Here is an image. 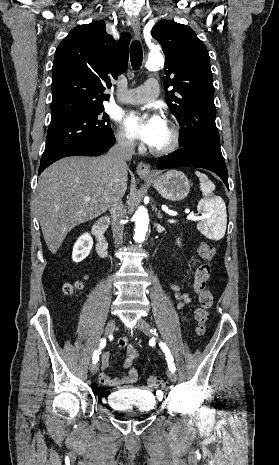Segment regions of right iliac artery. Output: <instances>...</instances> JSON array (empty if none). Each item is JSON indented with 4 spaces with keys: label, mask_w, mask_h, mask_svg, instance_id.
Listing matches in <instances>:
<instances>
[{
    "label": "right iliac artery",
    "mask_w": 279,
    "mask_h": 465,
    "mask_svg": "<svg viewBox=\"0 0 279 465\" xmlns=\"http://www.w3.org/2000/svg\"><path fill=\"white\" fill-rule=\"evenodd\" d=\"M105 345H106V339H101L100 344H99V349L93 353V357H92L93 363H96L98 361L100 350L104 348Z\"/></svg>",
    "instance_id": "82829eb1"
}]
</instances>
